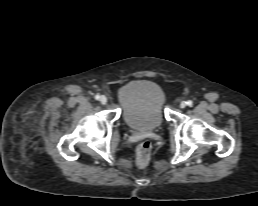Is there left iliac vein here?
<instances>
[{
    "instance_id": "4c4485c4",
    "label": "left iliac vein",
    "mask_w": 258,
    "mask_h": 206,
    "mask_svg": "<svg viewBox=\"0 0 258 206\" xmlns=\"http://www.w3.org/2000/svg\"><path fill=\"white\" fill-rule=\"evenodd\" d=\"M187 106V103L185 102V101H182L181 103H180V107L181 108H185Z\"/></svg>"
}]
</instances>
